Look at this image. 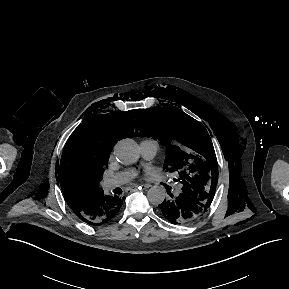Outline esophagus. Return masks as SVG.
I'll return each mask as SVG.
<instances>
[{"label": "esophagus", "instance_id": "34e87169", "mask_svg": "<svg viewBox=\"0 0 289 289\" xmlns=\"http://www.w3.org/2000/svg\"><path fill=\"white\" fill-rule=\"evenodd\" d=\"M150 187H151L150 184H143V185H141V186H134L133 188H135V189H140V188L148 189V188H150Z\"/></svg>", "mask_w": 289, "mask_h": 289}]
</instances>
